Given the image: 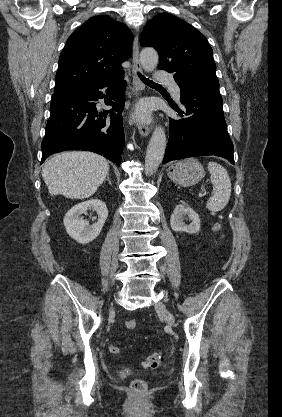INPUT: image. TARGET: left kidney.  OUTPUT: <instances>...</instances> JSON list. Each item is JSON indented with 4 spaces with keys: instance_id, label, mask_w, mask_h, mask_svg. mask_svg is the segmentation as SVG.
Instances as JSON below:
<instances>
[{
    "instance_id": "left-kidney-1",
    "label": "left kidney",
    "mask_w": 282,
    "mask_h": 417,
    "mask_svg": "<svg viewBox=\"0 0 282 417\" xmlns=\"http://www.w3.org/2000/svg\"><path fill=\"white\" fill-rule=\"evenodd\" d=\"M188 215L191 223L190 225H185L183 223V217ZM170 225L172 231H185L189 235H194V233H199L200 231V219L198 213H195L191 209L190 204L182 202V204H176L175 209L171 215Z\"/></svg>"
}]
</instances>
